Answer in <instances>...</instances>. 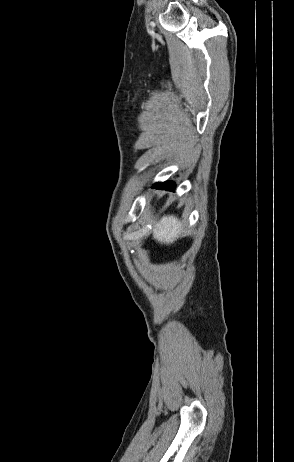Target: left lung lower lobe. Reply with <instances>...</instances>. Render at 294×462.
<instances>
[{"mask_svg": "<svg viewBox=\"0 0 294 462\" xmlns=\"http://www.w3.org/2000/svg\"><path fill=\"white\" fill-rule=\"evenodd\" d=\"M152 188L165 189L169 191H174L175 184L173 182H164V183H155Z\"/></svg>", "mask_w": 294, "mask_h": 462, "instance_id": "1", "label": "left lung lower lobe"}]
</instances>
